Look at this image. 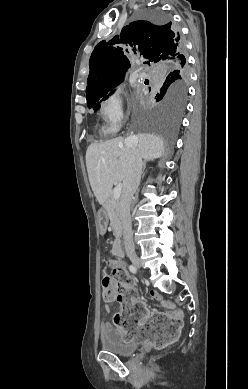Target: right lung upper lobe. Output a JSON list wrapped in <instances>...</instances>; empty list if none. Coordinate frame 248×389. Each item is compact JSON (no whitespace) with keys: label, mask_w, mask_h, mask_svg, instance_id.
<instances>
[{"label":"right lung upper lobe","mask_w":248,"mask_h":389,"mask_svg":"<svg viewBox=\"0 0 248 389\" xmlns=\"http://www.w3.org/2000/svg\"><path fill=\"white\" fill-rule=\"evenodd\" d=\"M172 23L156 24L149 21H134L125 26L119 36L96 45L89 60L90 72L87 79L86 98L102 88L109 87L117 79L124 78L130 67L123 48L133 47L147 64L164 67L172 62L186 64L184 45L177 41ZM181 41L182 49L178 51ZM127 51V49H126Z\"/></svg>","instance_id":"1"}]
</instances>
